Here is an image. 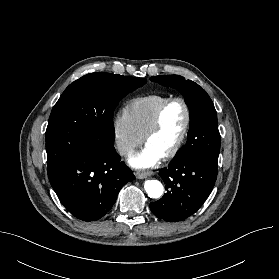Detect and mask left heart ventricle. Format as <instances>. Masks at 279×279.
<instances>
[{"label":"left heart ventricle","instance_id":"b2bd125f","mask_svg":"<svg viewBox=\"0 0 279 279\" xmlns=\"http://www.w3.org/2000/svg\"><path fill=\"white\" fill-rule=\"evenodd\" d=\"M184 123L183 105L180 102L170 104L163 114L159 129L149 138L147 146L163 156L179 139Z\"/></svg>","mask_w":279,"mask_h":279}]
</instances>
